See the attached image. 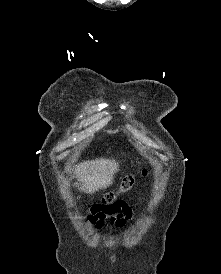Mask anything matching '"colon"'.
<instances>
[{"instance_id": "1", "label": "colon", "mask_w": 221, "mask_h": 274, "mask_svg": "<svg viewBox=\"0 0 221 274\" xmlns=\"http://www.w3.org/2000/svg\"><path fill=\"white\" fill-rule=\"evenodd\" d=\"M134 182H135V176L134 175H128L126 176L122 182H121V185H120V188H119V191L117 193H111L109 195H107L105 197V200H104V203L105 204H109V203H112L115 198H116V195L118 193H125V192H128L131 190V188L133 187L134 185Z\"/></svg>"}]
</instances>
